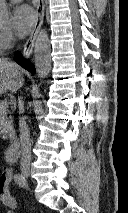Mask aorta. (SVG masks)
Listing matches in <instances>:
<instances>
[{
  "mask_svg": "<svg viewBox=\"0 0 128 213\" xmlns=\"http://www.w3.org/2000/svg\"><path fill=\"white\" fill-rule=\"evenodd\" d=\"M9 23V12L5 0H0V27ZM35 69L40 78H46L51 70V46L48 34L41 31L34 45Z\"/></svg>",
  "mask_w": 128,
  "mask_h": 213,
  "instance_id": "obj_1",
  "label": "aorta"
}]
</instances>
